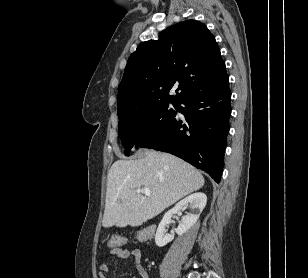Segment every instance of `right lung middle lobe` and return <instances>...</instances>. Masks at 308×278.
<instances>
[{"mask_svg":"<svg viewBox=\"0 0 308 278\" xmlns=\"http://www.w3.org/2000/svg\"><path fill=\"white\" fill-rule=\"evenodd\" d=\"M176 109L177 104L171 103ZM176 116L170 103H158L138 109L119 121V136L126 155L133 147L164 129Z\"/></svg>","mask_w":308,"mask_h":278,"instance_id":"obj_1","label":"right lung middle lobe"}]
</instances>
